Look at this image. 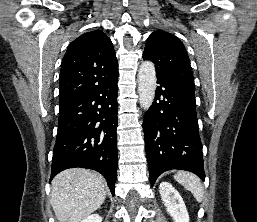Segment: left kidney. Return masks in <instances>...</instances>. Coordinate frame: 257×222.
<instances>
[{
    "label": "left kidney",
    "mask_w": 257,
    "mask_h": 222,
    "mask_svg": "<svg viewBox=\"0 0 257 222\" xmlns=\"http://www.w3.org/2000/svg\"><path fill=\"white\" fill-rule=\"evenodd\" d=\"M159 192L167 212L175 222H189L185 203L178 191L168 182L159 185Z\"/></svg>",
    "instance_id": "obj_1"
}]
</instances>
